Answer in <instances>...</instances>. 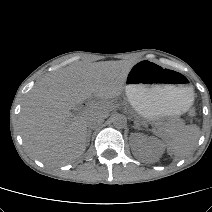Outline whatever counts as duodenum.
Returning <instances> with one entry per match:
<instances>
[{
	"label": "duodenum",
	"instance_id": "1",
	"mask_svg": "<svg viewBox=\"0 0 212 212\" xmlns=\"http://www.w3.org/2000/svg\"><path fill=\"white\" fill-rule=\"evenodd\" d=\"M83 106H84V107H87V106H88V104H87V103H84V104H83Z\"/></svg>",
	"mask_w": 212,
	"mask_h": 212
}]
</instances>
